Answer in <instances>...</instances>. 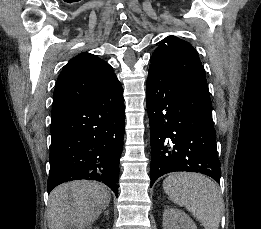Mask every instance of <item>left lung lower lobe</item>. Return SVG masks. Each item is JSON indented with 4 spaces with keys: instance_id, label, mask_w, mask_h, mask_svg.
<instances>
[{
    "instance_id": "left-lung-lower-lobe-1",
    "label": "left lung lower lobe",
    "mask_w": 261,
    "mask_h": 229,
    "mask_svg": "<svg viewBox=\"0 0 261 229\" xmlns=\"http://www.w3.org/2000/svg\"><path fill=\"white\" fill-rule=\"evenodd\" d=\"M147 111L154 182L170 172H197L220 181L216 133L207 82L149 69Z\"/></svg>"
}]
</instances>
